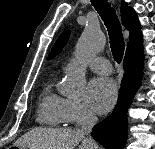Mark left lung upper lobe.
I'll list each match as a JSON object with an SVG mask.
<instances>
[{
  "label": "left lung upper lobe",
  "instance_id": "left-lung-upper-lobe-1",
  "mask_svg": "<svg viewBox=\"0 0 155 149\" xmlns=\"http://www.w3.org/2000/svg\"><path fill=\"white\" fill-rule=\"evenodd\" d=\"M70 31H64L60 37L57 39L56 43L54 44L51 52L49 53L48 59H52L54 56L59 54L63 47L66 45V42L69 39Z\"/></svg>",
  "mask_w": 155,
  "mask_h": 149
}]
</instances>
